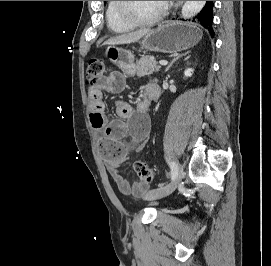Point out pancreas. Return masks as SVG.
<instances>
[{"label":"pancreas","instance_id":"cf45deb5","mask_svg":"<svg viewBox=\"0 0 271 266\" xmlns=\"http://www.w3.org/2000/svg\"><path fill=\"white\" fill-rule=\"evenodd\" d=\"M160 66L153 56H143L136 64V72L138 76L151 75L158 72Z\"/></svg>","mask_w":271,"mask_h":266}]
</instances>
